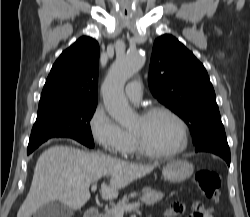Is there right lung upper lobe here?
<instances>
[{"instance_id":"cb5924a9","label":"right lung upper lobe","mask_w":250,"mask_h":217,"mask_svg":"<svg viewBox=\"0 0 250 217\" xmlns=\"http://www.w3.org/2000/svg\"><path fill=\"white\" fill-rule=\"evenodd\" d=\"M99 44L81 37L54 63L44 85L38 113L64 107L97 104Z\"/></svg>"}]
</instances>
